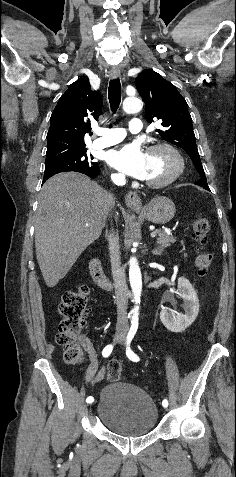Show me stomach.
Returning a JSON list of instances; mask_svg holds the SVG:
<instances>
[{
    "label": "stomach",
    "mask_w": 236,
    "mask_h": 477,
    "mask_svg": "<svg viewBox=\"0 0 236 477\" xmlns=\"http://www.w3.org/2000/svg\"><path fill=\"white\" fill-rule=\"evenodd\" d=\"M137 212L142 214L148 221L154 224H166L175 215V205L167 197L157 196L153 198L142 209L134 208Z\"/></svg>",
    "instance_id": "0dacf381"
}]
</instances>
